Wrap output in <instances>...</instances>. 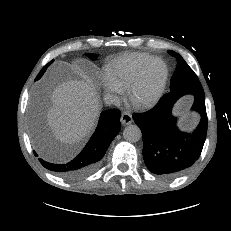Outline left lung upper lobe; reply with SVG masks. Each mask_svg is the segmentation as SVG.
Here are the masks:
<instances>
[{
    "label": "left lung upper lobe",
    "instance_id": "5c2ea615",
    "mask_svg": "<svg viewBox=\"0 0 231 231\" xmlns=\"http://www.w3.org/2000/svg\"><path fill=\"white\" fill-rule=\"evenodd\" d=\"M168 52L177 59V67L171 78V92L186 87L201 85L197 75L188 66L185 60L174 51Z\"/></svg>",
    "mask_w": 231,
    "mask_h": 231
}]
</instances>
